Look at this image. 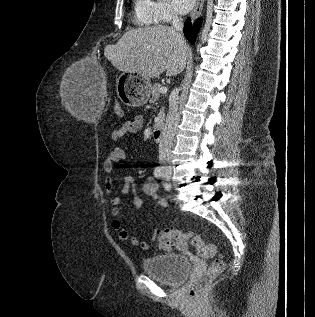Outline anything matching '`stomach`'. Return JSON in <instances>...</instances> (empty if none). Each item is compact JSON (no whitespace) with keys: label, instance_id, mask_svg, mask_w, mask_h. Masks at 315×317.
Wrapping results in <instances>:
<instances>
[{"label":"stomach","instance_id":"obj_1","mask_svg":"<svg viewBox=\"0 0 315 317\" xmlns=\"http://www.w3.org/2000/svg\"><path fill=\"white\" fill-rule=\"evenodd\" d=\"M116 91L124 105L140 107L148 101L152 85L149 78L136 72H123L116 79Z\"/></svg>","mask_w":315,"mask_h":317}]
</instances>
